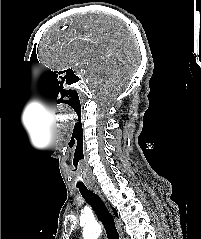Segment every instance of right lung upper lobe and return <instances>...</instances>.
<instances>
[{
	"label": "right lung upper lobe",
	"mask_w": 201,
	"mask_h": 239,
	"mask_svg": "<svg viewBox=\"0 0 201 239\" xmlns=\"http://www.w3.org/2000/svg\"><path fill=\"white\" fill-rule=\"evenodd\" d=\"M114 213H115V215L117 216V212H116V210L114 209Z\"/></svg>",
	"instance_id": "1"
}]
</instances>
